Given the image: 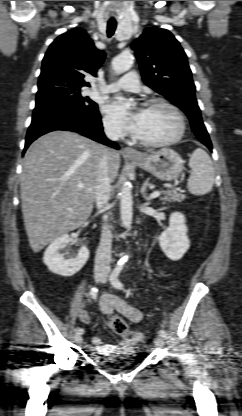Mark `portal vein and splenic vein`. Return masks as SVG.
<instances>
[{
    "label": "portal vein and splenic vein",
    "instance_id": "18ae733b",
    "mask_svg": "<svg viewBox=\"0 0 242 416\" xmlns=\"http://www.w3.org/2000/svg\"><path fill=\"white\" fill-rule=\"evenodd\" d=\"M79 188H83V185H78ZM160 196V191H154L153 193L150 194V198L154 199Z\"/></svg>",
    "mask_w": 242,
    "mask_h": 416
}]
</instances>
